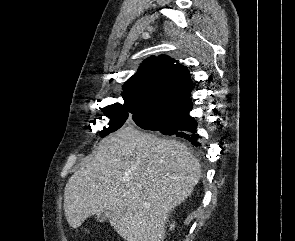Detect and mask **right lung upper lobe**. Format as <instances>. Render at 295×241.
<instances>
[{
    "mask_svg": "<svg viewBox=\"0 0 295 241\" xmlns=\"http://www.w3.org/2000/svg\"><path fill=\"white\" fill-rule=\"evenodd\" d=\"M189 70L167 56H152L125 83L124 102L166 115L192 103Z\"/></svg>",
    "mask_w": 295,
    "mask_h": 241,
    "instance_id": "right-lung-upper-lobe-1",
    "label": "right lung upper lobe"
}]
</instances>
